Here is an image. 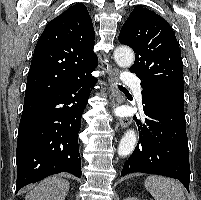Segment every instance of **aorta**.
Wrapping results in <instances>:
<instances>
[{"label":"aorta","instance_id":"obj_1","mask_svg":"<svg viewBox=\"0 0 201 200\" xmlns=\"http://www.w3.org/2000/svg\"><path fill=\"white\" fill-rule=\"evenodd\" d=\"M115 62L121 67H130L134 62V53L128 47H118L114 51ZM136 144V133L133 129L127 130L118 147V155L125 157L132 153Z\"/></svg>","mask_w":201,"mask_h":200}]
</instances>
